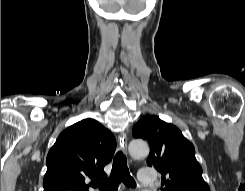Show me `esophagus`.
<instances>
[{"mask_svg": "<svg viewBox=\"0 0 245 191\" xmlns=\"http://www.w3.org/2000/svg\"><path fill=\"white\" fill-rule=\"evenodd\" d=\"M118 142H119V146H120V149L123 151V152H127V143H128V139H127V135L125 132H121L119 137H118Z\"/></svg>", "mask_w": 245, "mask_h": 191, "instance_id": "obj_1", "label": "esophagus"}]
</instances>
